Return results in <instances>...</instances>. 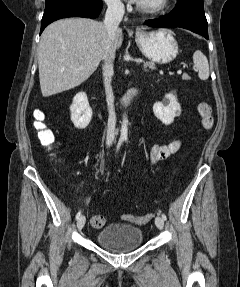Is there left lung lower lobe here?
<instances>
[{"label": "left lung lower lobe", "mask_w": 240, "mask_h": 287, "mask_svg": "<svg viewBox=\"0 0 240 287\" xmlns=\"http://www.w3.org/2000/svg\"><path fill=\"white\" fill-rule=\"evenodd\" d=\"M145 23L150 27L185 28L208 39V23L203 0H177L175 8L169 14L147 20Z\"/></svg>", "instance_id": "0a47b994"}]
</instances>
